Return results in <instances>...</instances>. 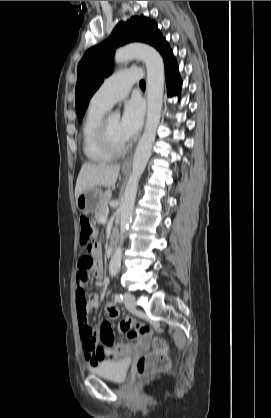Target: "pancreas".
I'll use <instances>...</instances> for the list:
<instances>
[{
	"label": "pancreas",
	"mask_w": 271,
	"mask_h": 418,
	"mask_svg": "<svg viewBox=\"0 0 271 418\" xmlns=\"http://www.w3.org/2000/svg\"><path fill=\"white\" fill-rule=\"evenodd\" d=\"M110 199H111V191L108 190L103 194L100 204L95 212V218L97 222H100L101 217L106 214L107 208H108V201Z\"/></svg>",
	"instance_id": "pancreas-1"
}]
</instances>
